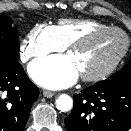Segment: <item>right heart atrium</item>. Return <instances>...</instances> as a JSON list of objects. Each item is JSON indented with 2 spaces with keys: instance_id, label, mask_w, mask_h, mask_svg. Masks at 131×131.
<instances>
[{
  "instance_id": "1",
  "label": "right heart atrium",
  "mask_w": 131,
  "mask_h": 131,
  "mask_svg": "<svg viewBox=\"0 0 131 131\" xmlns=\"http://www.w3.org/2000/svg\"><path fill=\"white\" fill-rule=\"evenodd\" d=\"M64 48L53 26L37 24L28 32L22 42L20 54L24 61H29L45 57L52 52L62 51Z\"/></svg>"
}]
</instances>
